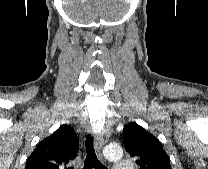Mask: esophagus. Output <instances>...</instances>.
<instances>
[{
	"instance_id": "34e87169",
	"label": "esophagus",
	"mask_w": 208,
	"mask_h": 169,
	"mask_svg": "<svg viewBox=\"0 0 208 169\" xmlns=\"http://www.w3.org/2000/svg\"><path fill=\"white\" fill-rule=\"evenodd\" d=\"M109 136L110 132H107V130H103L100 134L96 135L95 137V149L97 151L98 157L101 159L103 158L102 149L107 143Z\"/></svg>"
}]
</instances>
